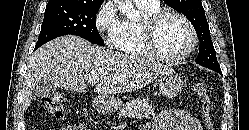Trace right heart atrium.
Instances as JSON below:
<instances>
[{"label": "right heart atrium", "mask_w": 249, "mask_h": 130, "mask_svg": "<svg viewBox=\"0 0 249 130\" xmlns=\"http://www.w3.org/2000/svg\"><path fill=\"white\" fill-rule=\"evenodd\" d=\"M120 23L116 15L115 6L111 2L104 3L96 13L95 27L110 46H114L115 44Z\"/></svg>", "instance_id": "right-heart-atrium-1"}]
</instances>
